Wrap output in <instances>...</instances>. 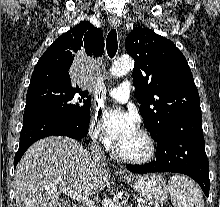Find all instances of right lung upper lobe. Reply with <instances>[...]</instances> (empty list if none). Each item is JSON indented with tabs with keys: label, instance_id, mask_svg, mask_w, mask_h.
<instances>
[{
	"label": "right lung upper lobe",
	"instance_id": "right-lung-upper-lobe-1",
	"mask_svg": "<svg viewBox=\"0 0 220 207\" xmlns=\"http://www.w3.org/2000/svg\"><path fill=\"white\" fill-rule=\"evenodd\" d=\"M78 50L91 58L101 56L104 51L102 31L84 21L62 34L40 57L29 86L38 83L72 85L68 71Z\"/></svg>",
	"mask_w": 220,
	"mask_h": 207
}]
</instances>
